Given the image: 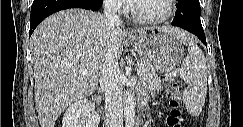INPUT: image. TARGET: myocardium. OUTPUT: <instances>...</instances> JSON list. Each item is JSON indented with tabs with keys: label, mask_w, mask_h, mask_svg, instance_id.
<instances>
[{
	"label": "myocardium",
	"mask_w": 243,
	"mask_h": 127,
	"mask_svg": "<svg viewBox=\"0 0 243 127\" xmlns=\"http://www.w3.org/2000/svg\"><path fill=\"white\" fill-rule=\"evenodd\" d=\"M165 2L167 6L166 12L155 17H144L139 15L136 11L135 3H130L128 9L131 16L138 22L145 24H158L171 18L175 12V0H165Z\"/></svg>",
	"instance_id": "obj_1"
}]
</instances>
